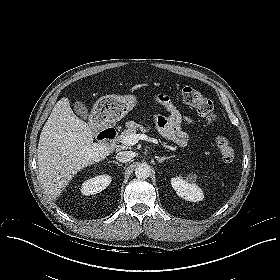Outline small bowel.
Masks as SVG:
<instances>
[{
  "mask_svg": "<svg viewBox=\"0 0 280 280\" xmlns=\"http://www.w3.org/2000/svg\"><path fill=\"white\" fill-rule=\"evenodd\" d=\"M152 102L167 111V115L156 114L154 116V121L160 133L178 146H186L189 142V135L182 130V124L194 125L196 123L195 119L190 115L181 114L166 96L159 95Z\"/></svg>",
  "mask_w": 280,
  "mask_h": 280,
  "instance_id": "c3829d8e",
  "label": "small bowel"
}]
</instances>
